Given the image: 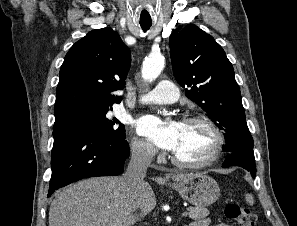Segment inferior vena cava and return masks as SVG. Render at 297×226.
<instances>
[{
	"instance_id": "obj_1",
	"label": "inferior vena cava",
	"mask_w": 297,
	"mask_h": 226,
	"mask_svg": "<svg viewBox=\"0 0 297 226\" xmlns=\"http://www.w3.org/2000/svg\"><path fill=\"white\" fill-rule=\"evenodd\" d=\"M154 155L155 151L151 146L136 144L132 147L131 160L123 175L124 184L132 198L137 197V192L143 187L147 168Z\"/></svg>"
}]
</instances>
